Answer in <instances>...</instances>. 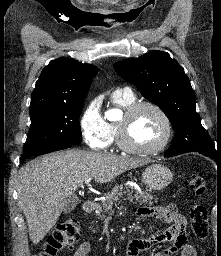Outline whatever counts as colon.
<instances>
[{
	"label": "colon",
	"mask_w": 221,
	"mask_h": 256,
	"mask_svg": "<svg viewBox=\"0 0 221 256\" xmlns=\"http://www.w3.org/2000/svg\"><path fill=\"white\" fill-rule=\"evenodd\" d=\"M187 188L193 196L190 210L191 229L197 239L204 241L209 235L207 209L201 202L206 181L201 175H193L187 181ZM78 239L79 222L74 218L66 219L49 235L42 252L34 256H58L61 251L72 248Z\"/></svg>",
	"instance_id": "obj_1"
}]
</instances>
